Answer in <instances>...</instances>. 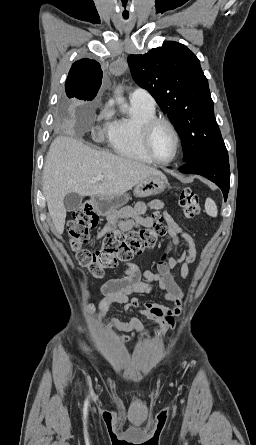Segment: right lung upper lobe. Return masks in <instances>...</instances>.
<instances>
[{
	"label": "right lung upper lobe",
	"mask_w": 256,
	"mask_h": 445,
	"mask_svg": "<svg viewBox=\"0 0 256 445\" xmlns=\"http://www.w3.org/2000/svg\"><path fill=\"white\" fill-rule=\"evenodd\" d=\"M102 75L100 64L96 60L84 58L75 62L65 83L67 96L85 101L93 100L101 86Z\"/></svg>",
	"instance_id": "cb5924a9"
}]
</instances>
